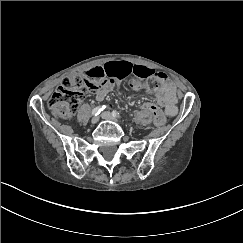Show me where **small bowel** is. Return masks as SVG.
<instances>
[{
    "mask_svg": "<svg viewBox=\"0 0 243 243\" xmlns=\"http://www.w3.org/2000/svg\"><path fill=\"white\" fill-rule=\"evenodd\" d=\"M100 75V83L95 89L96 99L103 100L112 90L114 83L134 74L140 78L156 77L163 83V88L157 95L160 106L168 116H175L178 112L176 106L177 96L173 83L163 73H157L154 70L142 66L133 65L127 61L109 62L103 66L94 67L87 71V75Z\"/></svg>",
    "mask_w": 243,
    "mask_h": 243,
    "instance_id": "obj_1",
    "label": "small bowel"
}]
</instances>
